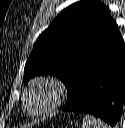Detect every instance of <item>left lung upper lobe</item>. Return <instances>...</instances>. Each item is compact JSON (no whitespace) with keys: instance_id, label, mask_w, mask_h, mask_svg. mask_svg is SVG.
Listing matches in <instances>:
<instances>
[{"instance_id":"5c2ea615","label":"left lung upper lobe","mask_w":125,"mask_h":128,"mask_svg":"<svg viewBox=\"0 0 125 128\" xmlns=\"http://www.w3.org/2000/svg\"><path fill=\"white\" fill-rule=\"evenodd\" d=\"M121 38L109 9L99 1L83 0L64 9L38 37L26 62L25 81L36 75L57 76L72 103L89 71Z\"/></svg>"}]
</instances>
